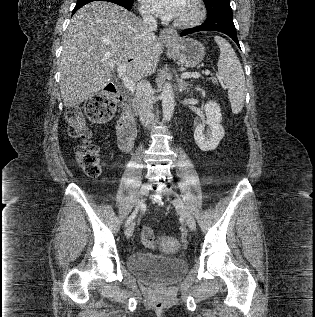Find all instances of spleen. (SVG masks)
<instances>
[{"label": "spleen", "mask_w": 315, "mask_h": 317, "mask_svg": "<svg viewBox=\"0 0 315 317\" xmlns=\"http://www.w3.org/2000/svg\"><path fill=\"white\" fill-rule=\"evenodd\" d=\"M220 49L217 63L220 77L228 87V97L232 112L238 114L242 111L246 96V83L242 65L230 43L220 37L214 36Z\"/></svg>", "instance_id": "obj_1"}]
</instances>
